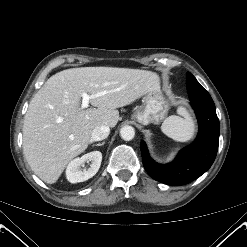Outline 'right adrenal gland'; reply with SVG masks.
I'll return each instance as SVG.
<instances>
[{
	"instance_id": "2a0ac1e0",
	"label": "right adrenal gland",
	"mask_w": 247,
	"mask_h": 247,
	"mask_svg": "<svg viewBox=\"0 0 247 247\" xmlns=\"http://www.w3.org/2000/svg\"><path fill=\"white\" fill-rule=\"evenodd\" d=\"M104 144H105V142H102V143L94 144L93 146H102Z\"/></svg>"
}]
</instances>
